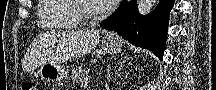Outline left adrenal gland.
I'll use <instances>...</instances> for the list:
<instances>
[{"label": "left adrenal gland", "mask_w": 216, "mask_h": 90, "mask_svg": "<svg viewBox=\"0 0 216 90\" xmlns=\"http://www.w3.org/2000/svg\"><path fill=\"white\" fill-rule=\"evenodd\" d=\"M126 60H128V58H124V60H123V58H121V60H118V66H115V68H117L116 72H120V70H121L123 64H125ZM107 80H109V82L111 80L110 70H108V78H107Z\"/></svg>", "instance_id": "obj_1"}]
</instances>
